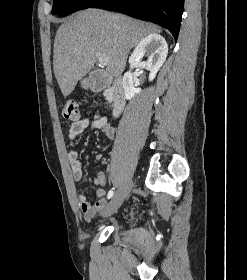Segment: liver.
Returning <instances> with one entry per match:
<instances>
[{"label": "liver", "mask_w": 247, "mask_h": 280, "mask_svg": "<svg viewBox=\"0 0 247 280\" xmlns=\"http://www.w3.org/2000/svg\"><path fill=\"white\" fill-rule=\"evenodd\" d=\"M160 30L150 24L100 9H86L69 17L57 30L53 70L64 96L94 66L96 53L109 57L107 73L120 76L128 53L142 39Z\"/></svg>", "instance_id": "6515ba94"}]
</instances>
